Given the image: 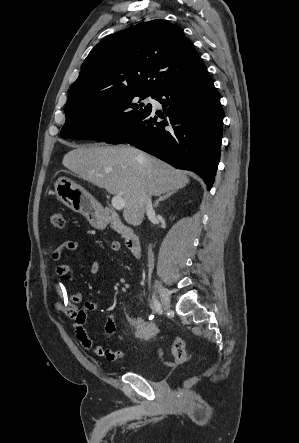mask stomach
<instances>
[{
	"label": "stomach",
	"instance_id": "1",
	"mask_svg": "<svg viewBox=\"0 0 299 443\" xmlns=\"http://www.w3.org/2000/svg\"><path fill=\"white\" fill-rule=\"evenodd\" d=\"M56 197L67 207L83 214L96 228L107 225L96 200L81 186L66 177H60L54 184Z\"/></svg>",
	"mask_w": 299,
	"mask_h": 443
}]
</instances>
